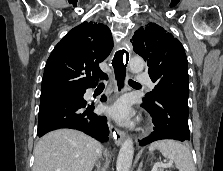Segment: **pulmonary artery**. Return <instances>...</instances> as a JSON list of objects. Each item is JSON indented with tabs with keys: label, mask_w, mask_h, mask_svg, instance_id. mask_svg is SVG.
Listing matches in <instances>:
<instances>
[{
	"label": "pulmonary artery",
	"mask_w": 223,
	"mask_h": 171,
	"mask_svg": "<svg viewBox=\"0 0 223 171\" xmlns=\"http://www.w3.org/2000/svg\"><path fill=\"white\" fill-rule=\"evenodd\" d=\"M137 80L140 83L146 84L150 89L154 88V84L151 82V80L146 74H143V73L138 74Z\"/></svg>",
	"instance_id": "1"
}]
</instances>
